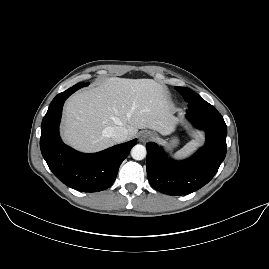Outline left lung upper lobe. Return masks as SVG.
Wrapping results in <instances>:
<instances>
[{"mask_svg":"<svg viewBox=\"0 0 269 269\" xmlns=\"http://www.w3.org/2000/svg\"><path fill=\"white\" fill-rule=\"evenodd\" d=\"M188 102L189 111L193 113L213 112L217 111L212 105L203 100L197 93L189 88L176 87L175 88Z\"/></svg>","mask_w":269,"mask_h":269,"instance_id":"1","label":"left lung upper lobe"}]
</instances>
